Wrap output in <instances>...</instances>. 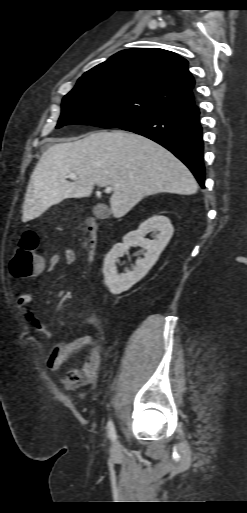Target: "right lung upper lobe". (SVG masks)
Instances as JSON below:
<instances>
[{
    "label": "right lung upper lobe",
    "mask_w": 247,
    "mask_h": 513,
    "mask_svg": "<svg viewBox=\"0 0 247 513\" xmlns=\"http://www.w3.org/2000/svg\"><path fill=\"white\" fill-rule=\"evenodd\" d=\"M181 56L158 48L120 51L95 66L77 82L78 88L125 89L164 104L168 109L194 103L195 81Z\"/></svg>",
    "instance_id": "cb5924a9"
}]
</instances>
